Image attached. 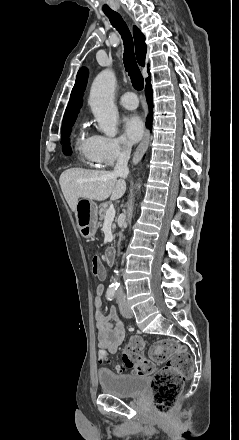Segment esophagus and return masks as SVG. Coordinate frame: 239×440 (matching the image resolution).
<instances>
[{
  "instance_id": "obj_1",
  "label": "esophagus",
  "mask_w": 239,
  "mask_h": 440,
  "mask_svg": "<svg viewBox=\"0 0 239 440\" xmlns=\"http://www.w3.org/2000/svg\"><path fill=\"white\" fill-rule=\"evenodd\" d=\"M149 137H150V131L147 129L143 139L141 141V143L139 144V146L137 147L136 151L134 152V156L132 159V164L134 165L135 163H137L142 156L144 155L147 147H148V142H149Z\"/></svg>"
}]
</instances>
